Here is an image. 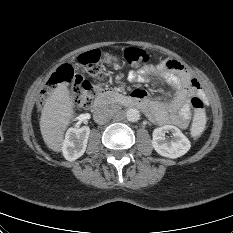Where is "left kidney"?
I'll list each match as a JSON object with an SVG mask.
<instances>
[{
	"label": "left kidney",
	"mask_w": 233,
	"mask_h": 233,
	"mask_svg": "<svg viewBox=\"0 0 233 233\" xmlns=\"http://www.w3.org/2000/svg\"><path fill=\"white\" fill-rule=\"evenodd\" d=\"M164 130L172 133L173 138L171 140L165 139L163 136ZM152 146L159 155L175 159L186 154L190 150L191 144L177 127L165 125L153 131Z\"/></svg>",
	"instance_id": "left-kidney-1"
}]
</instances>
